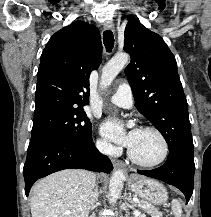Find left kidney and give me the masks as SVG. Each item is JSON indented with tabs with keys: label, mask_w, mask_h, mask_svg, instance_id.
<instances>
[{
	"label": "left kidney",
	"mask_w": 211,
	"mask_h": 217,
	"mask_svg": "<svg viewBox=\"0 0 211 217\" xmlns=\"http://www.w3.org/2000/svg\"><path fill=\"white\" fill-rule=\"evenodd\" d=\"M134 217H145L144 215H142L138 210H134Z\"/></svg>",
	"instance_id": "obj_1"
}]
</instances>
